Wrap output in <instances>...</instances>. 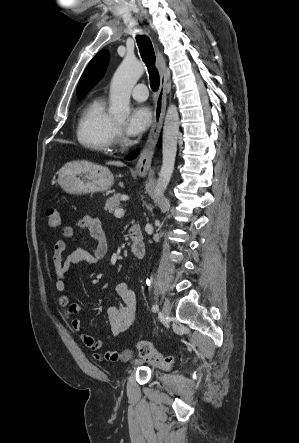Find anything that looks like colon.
Masks as SVG:
<instances>
[{"instance_id": "colon-1", "label": "colon", "mask_w": 299, "mask_h": 443, "mask_svg": "<svg viewBox=\"0 0 299 443\" xmlns=\"http://www.w3.org/2000/svg\"><path fill=\"white\" fill-rule=\"evenodd\" d=\"M46 222L49 228H56L60 225L61 215L56 207H49L46 210ZM137 348L140 356L150 365L161 370H169L173 365L171 358L163 357L147 341H139Z\"/></svg>"}]
</instances>
